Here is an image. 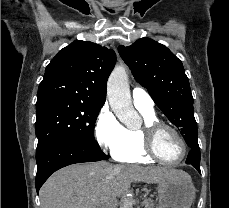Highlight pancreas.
Wrapping results in <instances>:
<instances>
[{"label": "pancreas", "mask_w": 229, "mask_h": 208, "mask_svg": "<svg viewBox=\"0 0 229 208\" xmlns=\"http://www.w3.org/2000/svg\"><path fill=\"white\" fill-rule=\"evenodd\" d=\"M142 206H144V208H157L156 202H154V200H150V198H148V200H144V202H142Z\"/></svg>", "instance_id": "cf45deb5"}]
</instances>
